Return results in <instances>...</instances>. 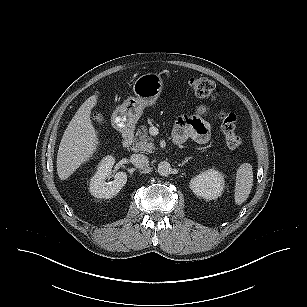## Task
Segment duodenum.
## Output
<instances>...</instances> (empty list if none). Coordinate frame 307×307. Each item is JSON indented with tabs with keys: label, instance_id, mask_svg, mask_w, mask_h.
Segmentation results:
<instances>
[{
	"label": "duodenum",
	"instance_id": "1",
	"mask_svg": "<svg viewBox=\"0 0 307 307\" xmlns=\"http://www.w3.org/2000/svg\"><path fill=\"white\" fill-rule=\"evenodd\" d=\"M134 141V132L133 130H125L123 132V138H122V146L124 148H128L133 144Z\"/></svg>",
	"mask_w": 307,
	"mask_h": 307
}]
</instances>
